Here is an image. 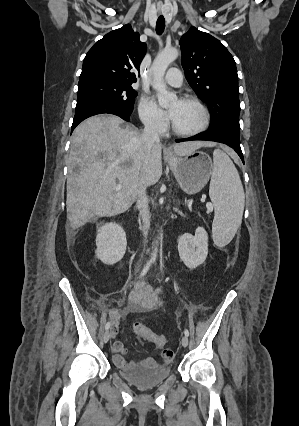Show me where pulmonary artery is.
<instances>
[{
    "mask_svg": "<svg viewBox=\"0 0 299 426\" xmlns=\"http://www.w3.org/2000/svg\"><path fill=\"white\" fill-rule=\"evenodd\" d=\"M165 81L172 86H180L183 81L181 71L177 68H170L165 75Z\"/></svg>",
    "mask_w": 299,
    "mask_h": 426,
    "instance_id": "pulmonary-artery-1",
    "label": "pulmonary artery"
}]
</instances>
